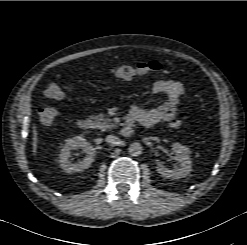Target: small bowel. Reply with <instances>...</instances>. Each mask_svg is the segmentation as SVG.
<instances>
[{
  "label": "small bowel",
  "instance_id": "1",
  "mask_svg": "<svg viewBox=\"0 0 247 245\" xmlns=\"http://www.w3.org/2000/svg\"><path fill=\"white\" fill-rule=\"evenodd\" d=\"M152 91L155 94L165 95L167 101L153 108L134 106L131 109V115L136 118L138 123L144 126H152L159 122L173 121L176 118L177 110L181 102L192 101V97L179 81L158 80L153 84Z\"/></svg>",
  "mask_w": 247,
  "mask_h": 245
}]
</instances>
